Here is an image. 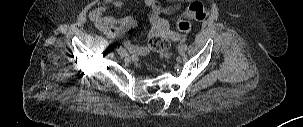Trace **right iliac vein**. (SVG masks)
I'll return each instance as SVG.
<instances>
[{
  "label": "right iliac vein",
  "instance_id": "1",
  "mask_svg": "<svg viewBox=\"0 0 303 127\" xmlns=\"http://www.w3.org/2000/svg\"><path fill=\"white\" fill-rule=\"evenodd\" d=\"M117 52H118L122 57H127V56H128L127 51H126L123 47H119V48L117 49Z\"/></svg>",
  "mask_w": 303,
  "mask_h": 127
}]
</instances>
